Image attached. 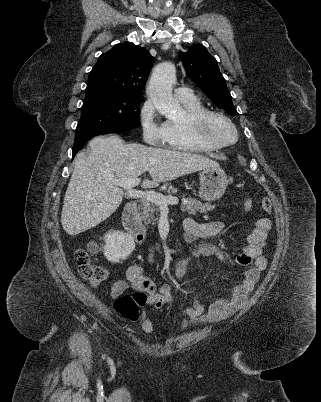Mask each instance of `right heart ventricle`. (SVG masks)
Returning <instances> with one entry per match:
<instances>
[{
  "instance_id": "1",
  "label": "right heart ventricle",
  "mask_w": 321,
  "mask_h": 402,
  "mask_svg": "<svg viewBox=\"0 0 321 402\" xmlns=\"http://www.w3.org/2000/svg\"><path fill=\"white\" fill-rule=\"evenodd\" d=\"M184 115L179 119H169L164 122L167 147L191 152H210L215 150L201 142L193 131L192 119L198 113L206 110L200 99L194 98L181 101Z\"/></svg>"
}]
</instances>
